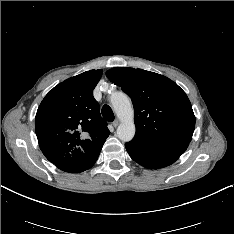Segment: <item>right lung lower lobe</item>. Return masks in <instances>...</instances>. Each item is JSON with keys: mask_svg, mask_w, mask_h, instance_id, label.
<instances>
[{"mask_svg": "<svg viewBox=\"0 0 234 234\" xmlns=\"http://www.w3.org/2000/svg\"><path fill=\"white\" fill-rule=\"evenodd\" d=\"M104 144V143H103ZM103 144H101L99 147L88 153L85 157L82 159L69 163V164H63L57 166L60 170H63L65 172H70V173H79L84 170H87L91 168L96 160L98 159V156L100 154V151L102 149Z\"/></svg>", "mask_w": 234, "mask_h": 234, "instance_id": "98d812e1", "label": "right lung lower lobe"}]
</instances>
